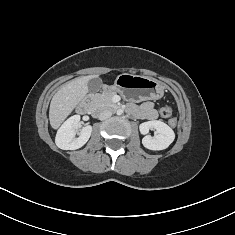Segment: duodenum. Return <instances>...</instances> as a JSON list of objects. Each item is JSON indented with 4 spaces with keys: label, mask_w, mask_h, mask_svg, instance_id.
<instances>
[{
    "label": "duodenum",
    "mask_w": 235,
    "mask_h": 235,
    "mask_svg": "<svg viewBox=\"0 0 235 235\" xmlns=\"http://www.w3.org/2000/svg\"><path fill=\"white\" fill-rule=\"evenodd\" d=\"M92 99H93L92 94L87 95L85 99L79 104L78 110L83 113L93 112Z\"/></svg>",
    "instance_id": "obj_1"
}]
</instances>
